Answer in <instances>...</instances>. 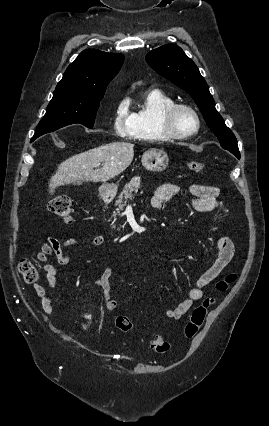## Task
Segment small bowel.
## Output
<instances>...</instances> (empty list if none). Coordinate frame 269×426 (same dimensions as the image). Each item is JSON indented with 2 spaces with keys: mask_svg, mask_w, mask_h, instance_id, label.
Listing matches in <instances>:
<instances>
[{
  "mask_svg": "<svg viewBox=\"0 0 269 426\" xmlns=\"http://www.w3.org/2000/svg\"><path fill=\"white\" fill-rule=\"evenodd\" d=\"M192 195L191 206L197 212H210L222 209L223 205L219 200L220 189L213 186L193 184L189 187ZM180 194V187L174 184H163L159 186L151 200L154 209H161L165 202L176 198ZM105 242L103 235H96L90 240L92 246H101ZM78 245V240L69 238L61 242L55 237H48L42 244L37 253V259L42 262L43 271L50 289L57 285V269L50 263L51 258H55L61 266L67 265L70 261L67 250ZM218 255L213 264L196 280L193 288L190 289L188 297L182 300L176 307L166 310L165 317L169 319L182 318L192 307L193 303L200 300L210 284L223 272L234 256V244L225 236L217 237ZM114 269L108 267L103 270L95 284L100 289L106 307L109 310L117 308L118 301L111 298V277ZM33 290L41 301L43 310L48 313H54L55 309L50 300L48 291L39 283L33 284Z\"/></svg>",
  "mask_w": 269,
  "mask_h": 426,
  "instance_id": "1",
  "label": "small bowel"
}]
</instances>
